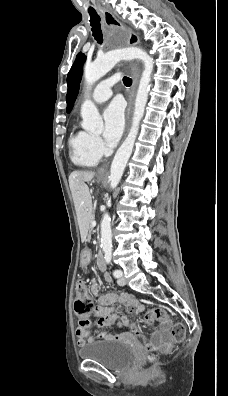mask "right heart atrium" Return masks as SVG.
Segmentation results:
<instances>
[{
    "mask_svg": "<svg viewBox=\"0 0 228 396\" xmlns=\"http://www.w3.org/2000/svg\"><path fill=\"white\" fill-rule=\"evenodd\" d=\"M92 147L93 149L101 155L104 152V144L98 136H92Z\"/></svg>",
    "mask_w": 228,
    "mask_h": 396,
    "instance_id": "1",
    "label": "right heart atrium"
}]
</instances>
